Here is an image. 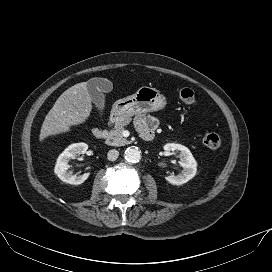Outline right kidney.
<instances>
[{
  "label": "right kidney",
  "instance_id": "ca27d5eb",
  "mask_svg": "<svg viewBox=\"0 0 272 272\" xmlns=\"http://www.w3.org/2000/svg\"><path fill=\"white\" fill-rule=\"evenodd\" d=\"M88 149L86 143H75L68 146L58 157L54 172L63 182L79 185L82 184L89 177L90 173H84L82 175H72L68 171L69 165L68 162L70 159H75L78 155L84 154Z\"/></svg>",
  "mask_w": 272,
  "mask_h": 272
}]
</instances>
